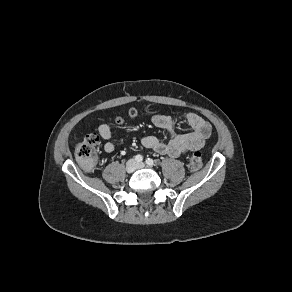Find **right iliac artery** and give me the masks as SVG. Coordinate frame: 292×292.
I'll return each mask as SVG.
<instances>
[{"label":"right iliac artery","mask_w":292,"mask_h":292,"mask_svg":"<svg viewBox=\"0 0 292 292\" xmlns=\"http://www.w3.org/2000/svg\"><path fill=\"white\" fill-rule=\"evenodd\" d=\"M135 160H136L137 162H142V160H143L142 155H140V154L136 155V156H135Z\"/></svg>","instance_id":"right-iliac-artery-1"}]
</instances>
